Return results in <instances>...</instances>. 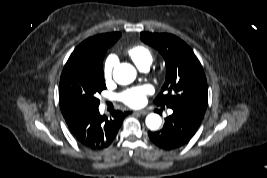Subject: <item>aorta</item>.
Returning <instances> with one entry per match:
<instances>
[{"label": "aorta", "instance_id": "obj_1", "mask_svg": "<svg viewBox=\"0 0 267 178\" xmlns=\"http://www.w3.org/2000/svg\"><path fill=\"white\" fill-rule=\"evenodd\" d=\"M136 74V69L131 64L121 63L114 68L113 78L118 84L127 85L135 80ZM145 123L150 130H157L162 119L158 114L151 113L146 117Z\"/></svg>", "mask_w": 267, "mask_h": 178}]
</instances>
